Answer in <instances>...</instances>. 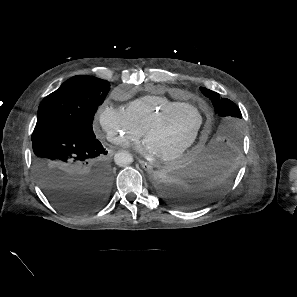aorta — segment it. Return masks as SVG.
I'll return each instance as SVG.
<instances>
[{
  "label": "aorta",
  "instance_id": "1",
  "mask_svg": "<svg viewBox=\"0 0 297 297\" xmlns=\"http://www.w3.org/2000/svg\"><path fill=\"white\" fill-rule=\"evenodd\" d=\"M114 161L118 166H126L133 162V157L126 151L115 154Z\"/></svg>",
  "mask_w": 297,
  "mask_h": 297
}]
</instances>
